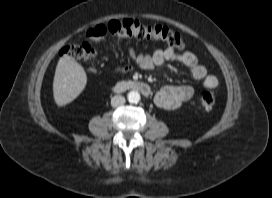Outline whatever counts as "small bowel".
<instances>
[{
    "mask_svg": "<svg viewBox=\"0 0 272 198\" xmlns=\"http://www.w3.org/2000/svg\"><path fill=\"white\" fill-rule=\"evenodd\" d=\"M128 54L137 68L150 70L169 61L179 62L188 68L191 76L199 81L204 89H214L218 85L217 78L209 74L207 69L199 63L197 56L191 52L177 53L173 48L168 47L146 53L129 46ZM130 68L125 66L119 68L117 72L125 73ZM193 95L194 88L189 85L164 86L157 91L154 101L158 107L171 111L189 101Z\"/></svg>",
    "mask_w": 272,
    "mask_h": 198,
    "instance_id": "obj_1",
    "label": "small bowel"
}]
</instances>
